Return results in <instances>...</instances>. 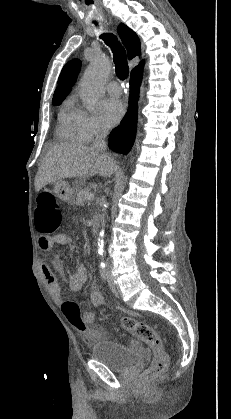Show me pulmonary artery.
Returning <instances> with one entry per match:
<instances>
[{
	"label": "pulmonary artery",
	"instance_id": "obj_1",
	"mask_svg": "<svg viewBox=\"0 0 231 419\" xmlns=\"http://www.w3.org/2000/svg\"><path fill=\"white\" fill-rule=\"evenodd\" d=\"M107 92L112 96H119L122 94V87L116 81H111L106 85Z\"/></svg>",
	"mask_w": 231,
	"mask_h": 419
}]
</instances>
